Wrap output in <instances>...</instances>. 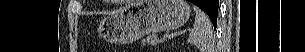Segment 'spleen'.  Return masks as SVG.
<instances>
[{"label": "spleen", "instance_id": "spleen-1", "mask_svg": "<svg viewBox=\"0 0 305 52\" xmlns=\"http://www.w3.org/2000/svg\"><path fill=\"white\" fill-rule=\"evenodd\" d=\"M193 10L196 18L188 41L199 48L201 52H214V37L210 19L197 6L194 5Z\"/></svg>", "mask_w": 305, "mask_h": 52}]
</instances>
